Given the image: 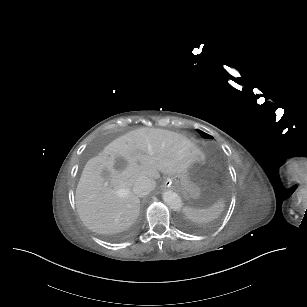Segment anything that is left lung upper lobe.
Listing matches in <instances>:
<instances>
[{
  "instance_id": "left-lung-upper-lobe-1",
  "label": "left lung upper lobe",
  "mask_w": 307,
  "mask_h": 307,
  "mask_svg": "<svg viewBox=\"0 0 307 307\" xmlns=\"http://www.w3.org/2000/svg\"><path fill=\"white\" fill-rule=\"evenodd\" d=\"M200 134H201V136L202 137H204V138H212V136H210V135H208V134H206V133H204V132H202V131H200V130H197Z\"/></svg>"
}]
</instances>
